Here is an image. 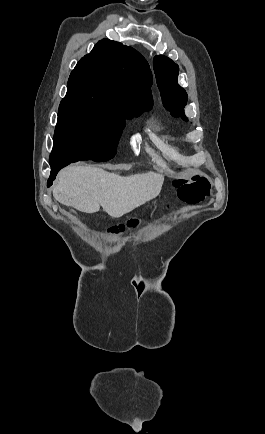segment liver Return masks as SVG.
Returning a JSON list of instances; mask_svg holds the SVG:
<instances>
[{"label": "liver", "instance_id": "obj_1", "mask_svg": "<svg viewBox=\"0 0 265 434\" xmlns=\"http://www.w3.org/2000/svg\"><path fill=\"white\" fill-rule=\"evenodd\" d=\"M163 174L118 176L91 166H68L61 170L53 186V196L64 206L94 214L102 206L111 218H121L138 206L157 198Z\"/></svg>", "mask_w": 265, "mask_h": 434}]
</instances>
